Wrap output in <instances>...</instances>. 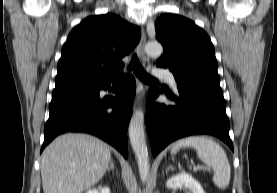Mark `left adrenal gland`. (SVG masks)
I'll list each match as a JSON object with an SVG mask.
<instances>
[{"label":"left adrenal gland","instance_id":"1","mask_svg":"<svg viewBox=\"0 0 277 193\" xmlns=\"http://www.w3.org/2000/svg\"><path fill=\"white\" fill-rule=\"evenodd\" d=\"M168 170H173V166H172V165H169L168 168H167V170H166V172H167Z\"/></svg>","mask_w":277,"mask_h":193}]
</instances>
